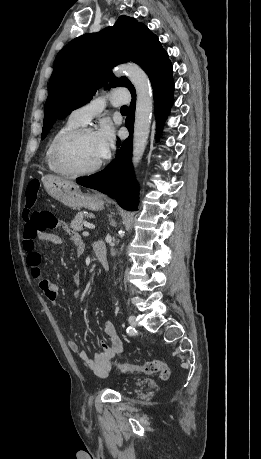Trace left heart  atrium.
<instances>
[{
  "label": "left heart atrium",
  "instance_id": "left-heart-atrium-1",
  "mask_svg": "<svg viewBox=\"0 0 261 459\" xmlns=\"http://www.w3.org/2000/svg\"><path fill=\"white\" fill-rule=\"evenodd\" d=\"M94 135L99 146L101 158H107L115 142L113 128L108 123H104Z\"/></svg>",
  "mask_w": 261,
  "mask_h": 459
}]
</instances>
